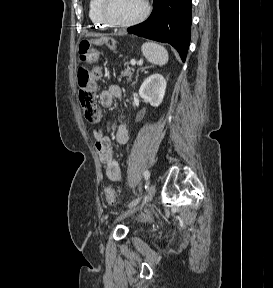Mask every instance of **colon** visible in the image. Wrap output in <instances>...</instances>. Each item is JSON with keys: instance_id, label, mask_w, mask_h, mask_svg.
<instances>
[{"instance_id": "5ec220e1", "label": "colon", "mask_w": 273, "mask_h": 288, "mask_svg": "<svg viewBox=\"0 0 273 288\" xmlns=\"http://www.w3.org/2000/svg\"><path fill=\"white\" fill-rule=\"evenodd\" d=\"M110 49L114 48L111 40L106 42ZM98 51L89 41H82L79 45V58L84 63H92L98 59ZM101 76V69L95 67L91 70L79 68L77 73L78 81V100L83 110L84 117L89 122H96L99 119V110L96 104L95 84L94 81ZM105 198L110 206L117 203L116 192L112 187L105 189Z\"/></svg>"}]
</instances>
